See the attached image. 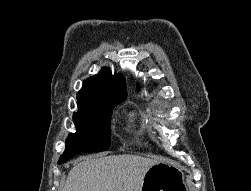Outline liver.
<instances>
[{"label": "liver", "instance_id": "obj_1", "mask_svg": "<svg viewBox=\"0 0 251 191\" xmlns=\"http://www.w3.org/2000/svg\"><path fill=\"white\" fill-rule=\"evenodd\" d=\"M157 159L142 155H93L70 169L64 191H141L149 167Z\"/></svg>", "mask_w": 251, "mask_h": 191}]
</instances>
